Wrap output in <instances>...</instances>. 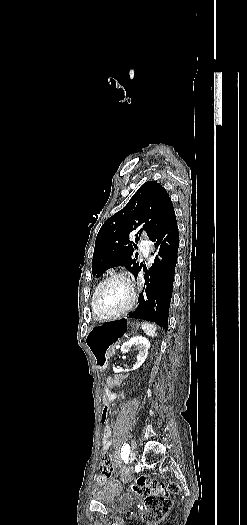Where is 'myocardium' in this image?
<instances>
[{"label":"myocardium","mask_w":247,"mask_h":525,"mask_svg":"<svg viewBox=\"0 0 247 525\" xmlns=\"http://www.w3.org/2000/svg\"><path fill=\"white\" fill-rule=\"evenodd\" d=\"M113 278H124V279H127L130 281L131 283V295L129 297V299L127 300V302L117 308H114L112 310H103L101 308L98 307L97 305V297H98V293L100 291V289L102 288V286L109 280L113 279ZM92 302H93V309L95 311V313L99 316H102V317H111V316H118V315H121V314H124L126 313L133 305H134V302H135V279L133 277V275L129 272H126V271H115V272H112L111 274H109L106 278H104L103 280H101L95 290H94V293H93V296H92Z\"/></svg>","instance_id":"1"}]
</instances>
